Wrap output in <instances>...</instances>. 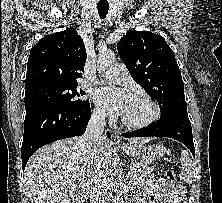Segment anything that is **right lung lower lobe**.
Masks as SVG:
<instances>
[{
  "instance_id": "1",
  "label": "right lung lower lobe",
  "mask_w": 222,
  "mask_h": 203,
  "mask_svg": "<svg viewBox=\"0 0 222 203\" xmlns=\"http://www.w3.org/2000/svg\"><path fill=\"white\" fill-rule=\"evenodd\" d=\"M91 117L90 104L67 107L58 104H39L26 109L22 142V168L40 147L56 140L85 133ZM107 137L111 138L109 132Z\"/></svg>"
}]
</instances>
